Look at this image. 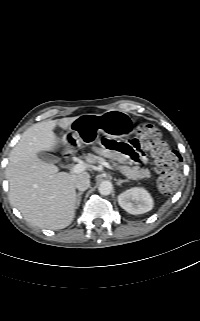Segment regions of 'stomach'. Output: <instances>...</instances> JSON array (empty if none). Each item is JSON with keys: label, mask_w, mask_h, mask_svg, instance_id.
<instances>
[{"label": "stomach", "mask_w": 200, "mask_h": 321, "mask_svg": "<svg viewBox=\"0 0 200 321\" xmlns=\"http://www.w3.org/2000/svg\"><path fill=\"white\" fill-rule=\"evenodd\" d=\"M131 117L120 110H109L103 114H83L78 116L64 135L67 147H78L81 143L91 144L99 133L108 137H126L132 133Z\"/></svg>", "instance_id": "stomach-1"}]
</instances>
